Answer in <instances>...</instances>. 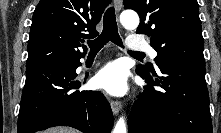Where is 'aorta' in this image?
<instances>
[{
    "mask_svg": "<svg viewBox=\"0 0 221 133\" xmlns=\"http://www.w3.org/2000/svg\"><path fill=\"white\" fill-rule=\"evenodd\" d=\"M120 22L127 29H136L139 25V16L134 11H124L120 15ZM113 133H127L123 116L117 121Z\"/></svg>",
    "mask_w": 221,
    "mask_h": 133,
    "instance_id": "1",
    "label": "aorta"
}]
</instances>
